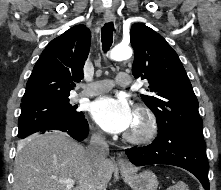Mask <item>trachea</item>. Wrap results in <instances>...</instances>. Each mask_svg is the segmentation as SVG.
I'll list each match as a JSON object with an SVG mask.
<instances>
[{
	"mask_svg": "<svg viewBox=\"0 0 221 190\" xmlns=\"http://www.w3.org/2000/svg\"><path fill=\"white\" fill-rule=\"evenodd\" d=\"M113 31L114 26L112 22L106 23L101 30V42H102V49L106 53L113 42Z\"/></svg>",
	"mask_w": 221,
	"mask_h": 190,
	"instance_id": "obj_1",
	"label": "trachea"
}]
</instances>
